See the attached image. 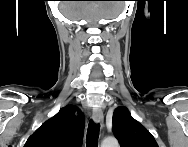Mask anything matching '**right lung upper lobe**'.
<instances>
[{
  "label": "right lung upper lobe",
  "instance_id": "cb5924a9",
  "mask_svg": "<svg viewBox=\"0 0 188 147\" xmlns=\"http://www.w3.org/2000/svg\"><path fill=\"white\" fill-rule=\"evenodd\" d=\"M83 132V113L76 106L67 105L43 123L28 138L24 147H80Z\"/></svg>",
  "mask_w": 188,
  "mask_h": 147
}]
</instances>
